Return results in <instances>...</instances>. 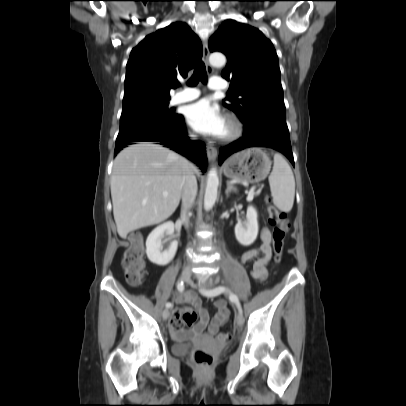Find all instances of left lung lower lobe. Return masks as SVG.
I'll return each instance as SVG.
<instances>
[{
  "instance_id": "left-lung-lower-lobe-1",
  "label": "left lung lower lobe",
  "mask_w": 406,
  "mask_h": 406,
  "mask_svg": "<svg viewBox=\"0 0 406 406\" xmlns=\"http://www.w3.org/2000/svg\"><path fill=\"white\" fill-rule=\"evenodd\" d=\"M243 136L220 149L221 164L231 154L249 147H269L283 153L294 165L286 121L274 117H256L244 123Z\"/></svg>"
}]
</instances>
